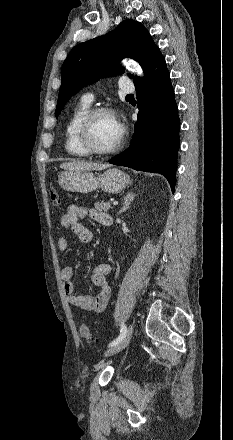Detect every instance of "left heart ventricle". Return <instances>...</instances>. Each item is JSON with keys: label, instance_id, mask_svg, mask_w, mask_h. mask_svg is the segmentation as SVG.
Wrapping results in <instances>:
<instances>
[{"label": "left heart ventricle", "instance_id": "obj_1", "mask_svg": "<svg viewBox=\"0 0 233 440\" xmlns=\"http://www.w3.org/2000/svg\"><path fill=\"white\" fill-rule=\"evenodd\" d=\"M120 132V125L113 116L99 115L92 122L90 141L98 149H109L118 141Z\"/></svg>", "mask_w": 233, "mask_h": 440}]
</instances>
